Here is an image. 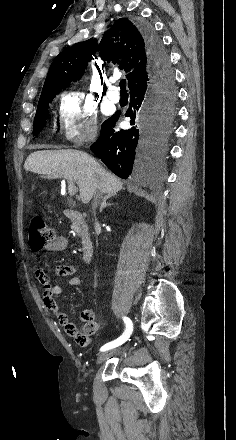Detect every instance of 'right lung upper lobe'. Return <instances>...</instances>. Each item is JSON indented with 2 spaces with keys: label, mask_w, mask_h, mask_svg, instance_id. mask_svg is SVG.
I'll return each instance as SVG.
<instances>
[{
  "label": "right lung upper lobe",
  "mask_w": 236,
  "mask_h": 440,
  "mask_svg": "<svg viewBox=\"0 0 236 440\" xmlns=\"http://www.w3.org/2000/svg\"><path fill=\"white\" fill-rule=\"evenodd\" d=\"M96 44V39H89L59 53L50 66L40 99L80 79L93 56L97 59L96 49L103 61L118 64L128 72L130 91L150 80L149 57L140 27L120 18L104 34L97 48Z\"/></svg>",
  "instance_id": "cb5924a9"
}]
</instances>
